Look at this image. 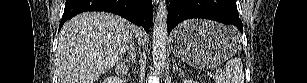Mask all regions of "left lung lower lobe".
I'll return each mask as SVG.
<instances>
[{
    "mask_svg": "<svg viewBox=\"0 0 307 83\" xmlns=\"http://www.w3.org/2000/svg\"><path fill=\"white\" fill-rule=\"evenodd\" d=\"M193 18L234 24L243 32L235 0H170L168 32L183 20Z\"/></svg>",
    "mask_w": 307,
    "mask_h": 83,
    "instance_id": "obj_1",
    "label": "left lung lower lobe"
}]
</instances>
